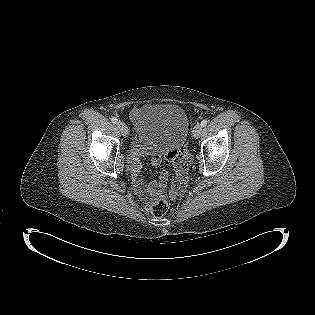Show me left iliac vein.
Masks as SVG:
<instances>
[{"mask_svg": "<svg viewBox=\"0 0 315 315\" xmlns=\"http://www.w3.org/2000/svg\"><path fill=\"white\" fill-rule=\"evenodd\" d=\"M201 132H202L201 124H196L195 127L193 128V131H192L193 137L195 139H198L200 134H201Z\"/></svg>", "mask_w": 315, "mask_h": 315, "instance_id": "obj_1", "label": "left iliac vein"}]
</instances>
